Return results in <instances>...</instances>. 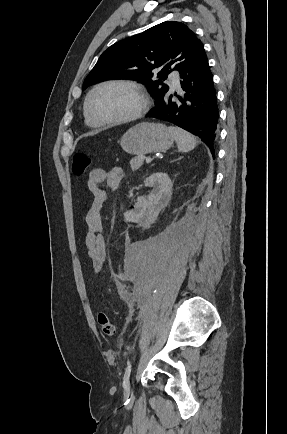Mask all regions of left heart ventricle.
I'll return each mask as SVG.
<instances>
[{
    "label": "left heart ventricle",
    "instance_id": "left-heart-ventricle-1",
    "mask_svg": "<svg viewBox=\"0 0 287 434\" xmlns=\"http://www.w3.org/2000/svg\"><path fill=\"white\" fill-rule=\"evenodd\" d=\"M140 104L141 99L133 90L119 85H109L93 94L90 109L97 119L109 120L133 114Z\"/></svg>",
    "mask_w": 287,
    "mask_h": 434
}]
</instances>
